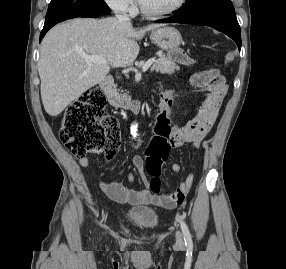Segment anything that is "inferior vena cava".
<instances>
[{
    "instance_id": "1",
    "label": "inferior vena cava",
    "mask_w": 286,
    "mask_h": 269,
    "mask_svg": "<svg viewBox=\"0 0 286 269\" xmlns=\"http://www.w3.org/2000/svg\"><path fill=\"white\" fill-rule=\"evenodd\" d=\"M116 18L120 21V22H128L130 23V18L125 15V14H120V13H117L116 14Z\"/></svg>"
}]
</instances>
